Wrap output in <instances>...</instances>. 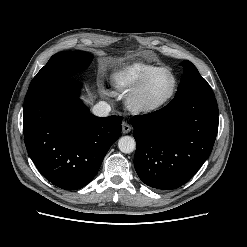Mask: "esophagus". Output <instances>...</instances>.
<instances>
[{"label":"esophagus","mask_w":247,"mask_h":247,"mask_svg":"<svg viewBox=\"0 0 247 247\" xmlns=\"http://www.w3.org/2000/svg\"><path fill=\"white\" fill-rule=\"evenodd\" d=\"M131 126L128 124V123H126V122H123V124H122V132L124 133V134H127V133H129L130 131H131Z\"/></svg>","instance_id":"esophagus-1"}]
</instances>
